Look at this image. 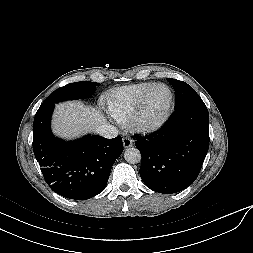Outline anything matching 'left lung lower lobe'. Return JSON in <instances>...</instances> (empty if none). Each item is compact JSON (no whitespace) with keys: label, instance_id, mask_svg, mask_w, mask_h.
I'll use <instances>...</instances> for the list:
<instances>
[{"label":"left lung lower lobe","instance_id":"obj_1","mask_svg":"<svg viewBox=\"0 0 253 253\" xmlns=\"http://www.w3.org/2000/svg\"><path fill=\"white\" fill-rule=\"evenodd\" d=\"M135 138L146 186L164 194L182 191L196 180L208 152V110L202 100L193 101L176 108L156 133Z\"/></svg>","mask_w":253,"mask_h":253}]
</instances>
